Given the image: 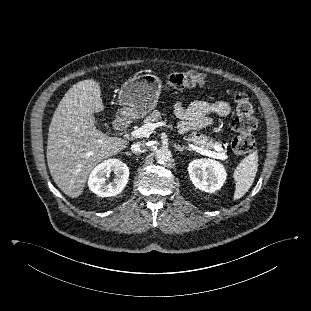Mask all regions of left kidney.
<instances>
[{
    "label": "left kidney",
    "mask_w": 311,
    "mask_h": 311,
    "mask_svg": "<svg viewBox=\"0 0 311 311\" xmlns=\"http://www.w3.org/2000/svg\"><path fill=\"white\" fill-rule=\"evenodd\" d=\"M188 172L194 186L214 193L225 183L227 173L223 165L211 159H196L189 163Z\"/></svg>",
    "instance_id": "left-kidney-1"
}]
</instances>
